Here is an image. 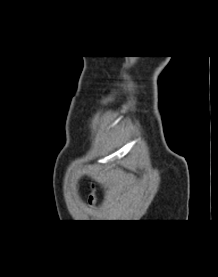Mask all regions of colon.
Wrapping results in <instances>:
<instances>
[{
    "label": "colon",
    "instance_id": "5ec220e1",
    "mask_svg": "<svg viewBox=\"0 0 218 277\" xmlns=\"http://www.w3.org/2000/svg\"><path fill=\"white\" fill-rule=\"evenodd\" d=\"M96 202V188L95 185L92 184L91 192L89 194V203L92 205Z\"/></svg>",
    "mask_w": 218,
    "mask_h": 277
}]
</instances>
